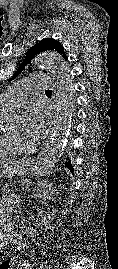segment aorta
Returning <instances> with one entry per match:
<instances>
[{
	"mask_svg": "<svg viewBox=\"0 0 118 269\" xmlns=\"http://www.w3.org/2000/svg\"><path fill=\"white\" fill-rule=\"evenodd\" d=\"M34 65L36 68L49 69L57 79L58 89V115L54 131L34 168L36 174L44 175L59 161L67 143L74 108V78L67 62L55 53L37 55Z\"/></svg>",
	"mask_w": 118,
	"mask_h": 269,
	"instance_id": "762f6f07",
	"label": "aorta"
}]
</instances>
